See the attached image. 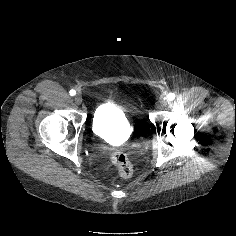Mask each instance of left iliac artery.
I'll use <instances>...</instances> for the list:
<instances>
[{"label": "left iliac artery", "instance_id": "1", "mask_svg": "<svg viewBox=\"0 0 236 236\" xmlns=\"http://www.w3.org/2000/svg\"><path fill=\"white\" fill-rule=\"evenodd\" d=\"M167 98H168L169 100H173V99L175 98V94H174V93H169V94L167 95Z\"/></svg>", "mask_w": 236, "mask_h": 236}]
</instances>
